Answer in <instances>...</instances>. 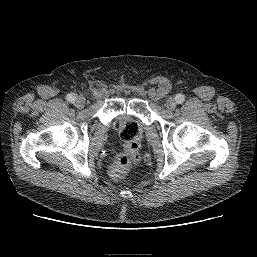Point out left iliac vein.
Wrapping results in <instances>:
<instances>
[{
  "label": "left iliac vein",
  "instance_id": "4c4485c4",
  "mask_svg": "<svg viewBox=\"0 0 257 257\" xmlns=\"http://www.w3.org/2000/svg\"><path fill=\"white\" fill-rule=\"evenodd\" d=\"M176 105H177V103H176V101H175V99H173V98H169L167 101H166V108L168 109V110H174L175 109V107H176Z\"/></svg>",
  "mask_w": 257,
  "mask_h": 257
}]
</instances>
